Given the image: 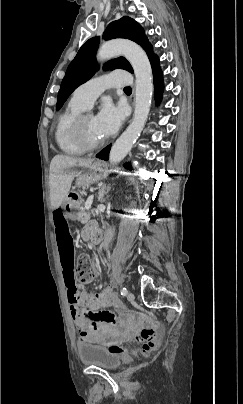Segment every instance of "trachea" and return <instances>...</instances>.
I'll return each mask as SVG.
<instances>
[{
    "instance_id": "obj_1",
    "label": "trachea",
    "mask_w": 243,
    "mask_h": 404,
    "mask_svg": "<svg viewBox=\"0 0 243 404\" xmlns=\"http://www.w3.org/2000/svg\"><path fill=\"white\" fill-rule=\"evenodd\" d=\"M124 90H129V91H132L131 87H125V89H124Z\"/></svg>"
}]
</instances>
